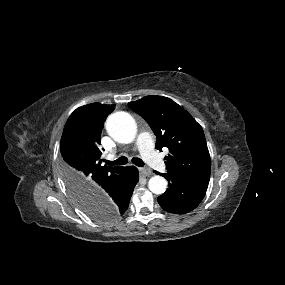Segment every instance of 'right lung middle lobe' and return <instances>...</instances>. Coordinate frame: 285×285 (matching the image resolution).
<instances>
[{
    "label": "right lung middle lobe",
    "mask_w": 285,
    "mask_h": 285,
    "mask_svg": "<svg viewBox=\"0 0 285 285\" xmlns=\"http://www.w3.org/2000/svg\"><path fill=\"white\" fill-rule=\"evenodd\" d=\"M65 182L79 207L91 218L99 221H109L118 217L117 214L112 211V209L108 205H97L91 202L86 203L80 201L75 193V190L71 186H69L67 179H65Z\"/></svg>",
    "instance_id": "right-lung-middle-lobe-1"
}]
</instances>
